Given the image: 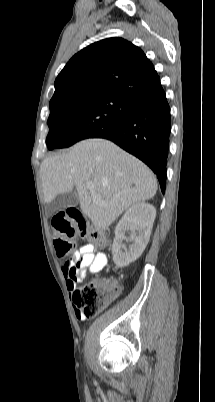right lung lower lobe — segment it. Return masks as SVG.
I'll return each instance as SVG.
<instances>
[{"label":"right lung lower lobe","mask_w":215,"mask_h":402,"mask_svg":"<svg viewBox=\"0 0 215 402\" xmlns=\"http://www.w3.org/2000/svg\"><path fill=\"white\" fill-rule=\"evenodd\" d=\"M170 132V107L162 90L135 100L119 123L91 138L111 140L142 160L157 175L164 194Z\"/></svg>","instance_id":"right-lung-lower-lobe-1"}]
</instances>
